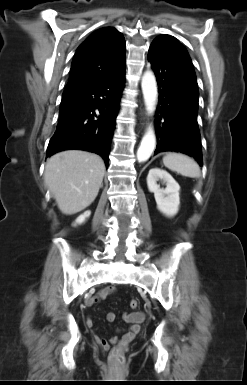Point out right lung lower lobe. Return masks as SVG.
Wrapping results in <instances>:
<instances>
[{
	"mask_svg": "<svg viewBox=\"0 0 247 385\" xmlns=\"http://www.w3.org/2000/svg\"><path fill=\"white\" fill-rule=\"evenodd\" d=\"M124 83L125 67L62 98L59 122L46 157L63 150H86L101 155L108 166Z\"/></svg>",
	"mask_w": 247,
	"mask_h": 385,
	"instance_id": "98d812e1",
	"label": "right lung lower lobe"
}]
</instances>
